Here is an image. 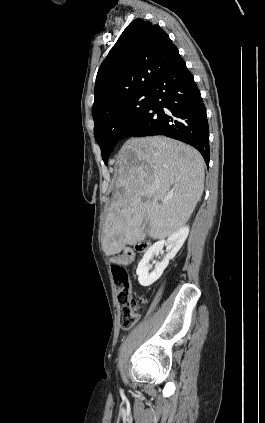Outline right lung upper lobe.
Wrapping results in <instances>:
<instances>
[{"instance_id":"cb5924a9","label":"right lung upper lobe","mask_w":265,"mask_h":423,"mask_svg":"<svg viewBox=\"0 0 265 423\" xmlns=\"http://www.w3.org/2000/svg\"><path fill=\"white\" fill-rule=\"evenodd\" d=\"M177 54V47L160 26L143 19L132 21L98 70L94 121L124 98L150 90Z\"/></svg>"}]
</instances>
